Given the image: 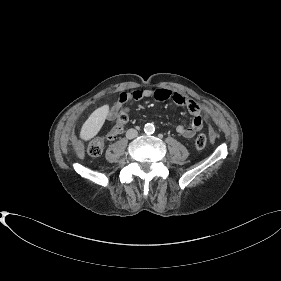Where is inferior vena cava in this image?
<instances>
[{
  "label": "inferior vena cava",
  "instance_id": "inferior-vena-cava-1",
  "mask_svg": "<svg viewBox=\"0 0 281 281\" xmlns=\"http://www.w3.org/2000/svg\"><path fill=\"white\" fill-rule=\"evenodd\" d=\"M137 135H138L137 130H135L133 128L127 130V132H126V137L128 139H133V138L137 137Z\"/></svg>",
  "mask_w": 281,
  "mask_h": 281
}]
</instances>
